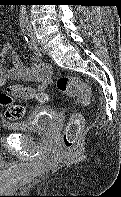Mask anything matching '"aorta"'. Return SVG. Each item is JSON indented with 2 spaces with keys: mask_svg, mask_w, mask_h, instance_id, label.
Listing matches in <instances>:
<instances>
[{
  "mask_svg": "<svg viewBox=\"0 0 121 197\" xmlns=\"http://www.w3.org/2000/svg\"><path fill=\"white\" fill-rule=\"evenodd\" d=\"M20 18H26L27 17V12H26V6L21 5L20 7Z\"/></svg>",
  "mask_w": 121,
  "mask_h": 197,
  "instance_id": "762f6f07",
  "label": "aorta"
}]
</instances>
